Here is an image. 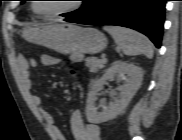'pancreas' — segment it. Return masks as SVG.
I'll use <instances>...</instances> for the list:
<instances>
[{
	"label": "pancreas",
	"instance_id": "pancreas-1",
	"mask_svg": "<svg viewBox=\"0 0 182 140\" xmlns=\"http://www.w3.org/2000/svg\"><path fill=\"white\" fill-rule=\"evenodd\" d=\"M86 66L89 68L90 72L96 73L100 69L104 68L106 62H103L101 59L95 57H88L85 59Z\"/></svg>",
	"mask_w": 182,
	"mask_h": 140
}]
</instances>
